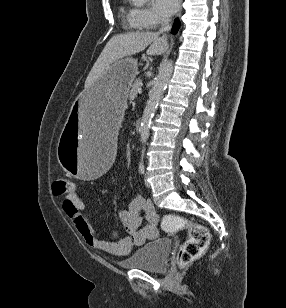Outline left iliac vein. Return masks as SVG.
I'll list each match as a JSON object with an SVG mask.
<instances>
[{
	"label": "left iliac vein",
	"mask_w": 286,
	"mask_h": 308,
	"mask_svg": "<svg viewBox=\"0 0 286 308\" xmlns=\"http://www.w3.org/2000/svg\"><path fill=\"white\" fill-rule=\"evenodd\" d=\"M144 183H145L146 187H148V188L150 187V183L147 181V174H145Z\"/></svg>",
	"instance_id": "4c4485c4"
}]
</instances>
